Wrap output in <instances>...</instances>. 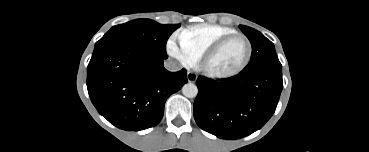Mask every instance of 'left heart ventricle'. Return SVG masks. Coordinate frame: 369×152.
Returning <instances> with one entry per match:
<instances>
[{
    "label": "left heart ventricle",
    "mask_w": 369,
    "mask_h": 152,
    "mask_svg": "<svg viewBox=\"0 0 369 152\" xmlns=\"http://www.w3.org/2000/svg\"><path fill=\"white\" fill-rule=\"evenodd\" d=\"M247 46L242 39L229 41L213 58L208 62V67L219 73H227L236 69L244 60Z\"/></svg>",
    "instance_id": "1"
}]
</instances>
